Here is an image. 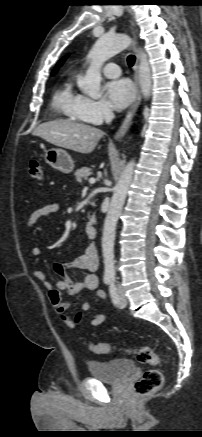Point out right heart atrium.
<instances>
[{"mask_svg":"<svg viewBox=\"0 0 202 437\" xmlns=\"http://www.w3.org/2000/svg\"><path fill=\"white\" fill-rule=\"evenodd\" d=\"M81 115L91 123H101L103 120L112 116V108L104 99H92L82 96L80 102Z\"/></svg>","mask_w":202,"mask_h":437,"instance_id":"obj_1","label":"right heart atrium"}]
</instances>
